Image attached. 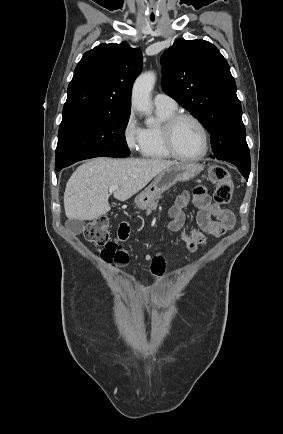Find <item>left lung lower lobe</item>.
<instances>
[{
	"label": "left lung lower lobe",
	"mask_w": 283,
	"mask_h": 434,
	"mask_svg": "<svg viewBox=\"0 0 283 434\" xmlns=\"http://www.w3.org/2000/svg\"><path fill=\"white\" fill-rule=\"evenodd\" d=\"M236 166L238 167L241 174L245 177V179L248 180L250 173V164L238 163Z\"/></svg>",
	"instance_id": "0a47b994"
}]
</instances>
